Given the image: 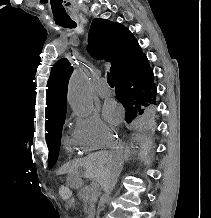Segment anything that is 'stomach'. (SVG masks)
Listing matches in <instances>:
<instances>
[{
    "instance_id": "1",
    "label": "stomach",
    "mask_w": 211,
    "mask_h": 218,
    "mask_svg": "<svg viewBox=\"0 0 211 218\" xmlns=\"http://www.w3.org/2000/svg\"><path fill=\"white\" fill-rule=\"evenodd\" d=\"M68 183L69 186L74 189H79L83 186V181L80 176L74 173L68 176Z\"/></svg>"
}]
</instances>
